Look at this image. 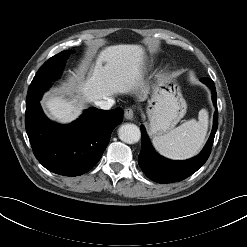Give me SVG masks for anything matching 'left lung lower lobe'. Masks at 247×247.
Wrapping results in <instances>:
<instances>
[{"label":"left lung lower lobe","instance_id":"0a47b994","mask_svg":"<svg viewBox=\"0 0 247 247\" xmlns=\"http://www.w3.org/2000/svg\"><path fill=\"white\" fill-rule=\"evenodd\" d=\"M200 80L210 88L216 111L211 135L198 156L185 161H172L160 156L151 148L144 127H141L142 146L138 163L144 174L157 183H172L186 179L195 173L210 155L218 128L217 96L214 82L210 78H201Z\"/></svg>","mask_w":247,"mask_h":247}]
</instances>
